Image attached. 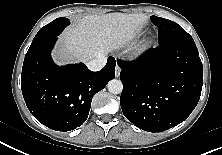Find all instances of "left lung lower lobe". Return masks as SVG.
Here are the masks:
<instances>
[{"label": "left lung lower lobe", "mask_w": 222, "mask_h": 155, "mask_svg": "<svg viewBox=\"0 0 222 155\" xmlns=\"http://www.w3.org/2000/svg\"><path fill=\"white\" fill-rule=\"evenodd\" d=\"M117 63L123 114L140 129L162 132L174 127L200 99L203 67L194 41L159 44L137 61Z\"/></svg>", "instance_id": "1"}]
</instances>
